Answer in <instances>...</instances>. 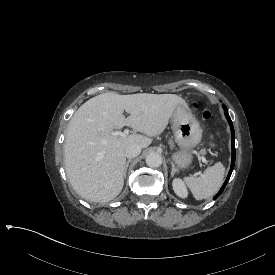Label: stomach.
Masks as SVG:
<instances>
[{"label": "stomach", "mask_w": 275, "mask_h": 275, "mask_svg": "<svg viewBox=\"0 0 275 275\" xmlns=\"http://www.w3.org/2000/svg\"><path fill=\"white\" fill-rule=\"evenodd\" d=\"M171 122L175 140L180 147L172 159L178 167L185 168L192 162L191 150L200 143L202 129L190 109L183 105L176 106Z\"/></svg>", "instance_id": "stomach-1"}]
</instances>
